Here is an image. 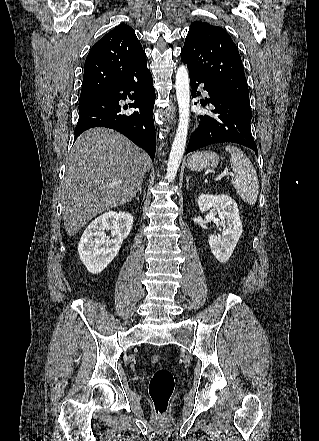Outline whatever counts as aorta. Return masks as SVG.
<instances>
[{
  "mask_svg": "<svg viewBox=\"0 0 319 441\" xmlns=\"http://www.w3.org/2000/svg\"><path fill=\"white\" fill-rule=\"evenodd\" d=\"M175 88L179 106V124L167 163L166 178L169 182H173L177 175V171L185 151L189 127V72L187 67L184 65H181L177 69Z\"/></svg>",
  "mask_w": 319,
  "mask_h": 441,
  "instance_id": "aorta-1",
  "label": "aorta"
}]
</instances>
